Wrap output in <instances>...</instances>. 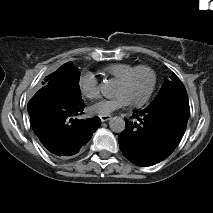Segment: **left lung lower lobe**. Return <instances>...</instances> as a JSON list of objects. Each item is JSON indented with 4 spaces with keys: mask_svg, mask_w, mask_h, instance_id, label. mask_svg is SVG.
<instances>
[{
    "mask_svg": "<svg viewBox=\"0 0 213 213\" xmlns=\"http://www.w3.org/2000/svg\"><path fill=\"white\" fill-rule=\"evenodd\" d=\"M138 121L126 120L119 135L125 157L139 166L154 165L169 156L185 132L189 115L171 107L146 108L133 115Z\"/></svg>",
    "mask_w": 213,
    "mask_h": 213,
    "instance_id": "1",
    "label": "left lung lower lobe"
}]
</instances>
